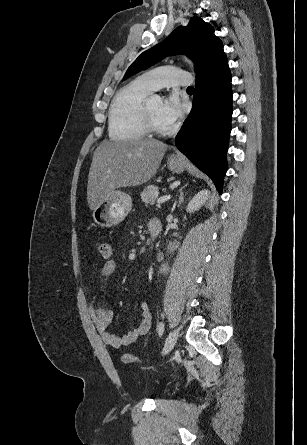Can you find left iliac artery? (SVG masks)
Instances as JSON below:
<instances>
[{
	"label": "left iliac artery",
	"instance_id": "obj_1",
	"mask_svg": "<svg viewBox=\"0 0 307 445\" xmlns=\"http://www.w3.org/2000/svg\"><path fill=\"white\" fill-rule=\"evenodd\" d=\"M164 323L163 322H160L159 324H158V326H157V331H158V334H159V336H161L162 334H163V332H164Z\"/></svg>",
	"mask_w": 307,
	"mask_h": 445
}]
</instances>
